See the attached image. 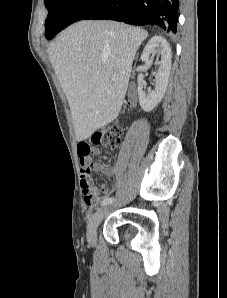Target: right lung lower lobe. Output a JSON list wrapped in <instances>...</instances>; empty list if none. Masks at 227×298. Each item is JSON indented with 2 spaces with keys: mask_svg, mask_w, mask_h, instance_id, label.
Wrapping results in <instances>:
<instances>
[{
  "mask_svg": "<svg viewBox=\"0 0 227 298\" xmlns=\"http://www.w3.org/2000/svg\"><path fill=\"white\" fill-rule=\"evenodd\" d=\"M178 0H102L83 19H111L132 25L155 24L176 33Z\"/></svg>",
  "mask_w": 227,
  "mask_h": 298,
  "instance_id": "98d812e1",
  "label": "right lung lower lobe"
}]
</instances>
